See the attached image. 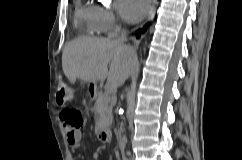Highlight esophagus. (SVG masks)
Listing matches in <instances>:
<instances>
[{
  "instance_id": "esophagus-1",
  "label": "esophagus",
  "mask_w": 242,
  "mask_h": 160,
  "mask_svg": "<svg viewBox=\"0 0 242 160\" xmlns=\"http://www.w3.org/2000/svg\"><path fill=\"white\" fill-rule=\"evenodd\" d=\"M156 7H157V0H152L150 11H149V14L147 17V22H149L153 19L154 15H155Z\"/></svg>"
}]
</instances>
